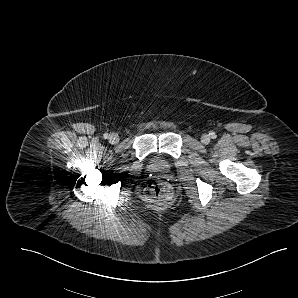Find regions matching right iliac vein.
<instances>
[{"label":"right iliac vein","mask_w":298,"mask_h":298,"mask_svg":"<svg viewBox=\"0 0 298 298\" xmlns=\"http://www.w3.org/2000/svg\"><path fill=\"white\" fill-rule=\"evenodd\" d=\"M108 138L112 144H116L119 141V136L115 133H112Z\"/></svg>","instance_id":"right-iliac-vein-1"}]
</instances>
